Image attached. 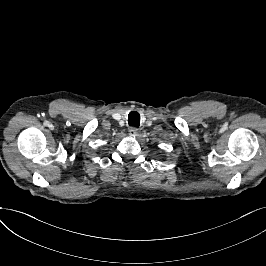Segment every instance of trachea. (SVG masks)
<instances>
[{"label":"trachea","instance_id":"1","mask_svg":"<svg viewBox=\"0 0 266 266\" xmlns=\"http://www.w3.org/2000/svg\"><path fill=\"white\" fill-rule=\"evenodd\" d=\"M128 123L132 127H138L140 124V115L138 112L132 111L128 116Z\"/></svg>","mask_w":266,"mask_h":266}]
</instances>
